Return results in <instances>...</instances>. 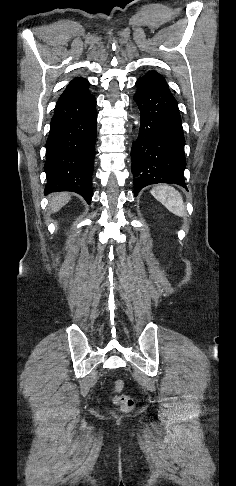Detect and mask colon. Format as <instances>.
Returning <instances> with one entry per match:
<instances>
[{
  "label": "colon",
  "mask_w": 236,
  "mask_h": 486,
  "mask_svg": "<svg viewBox=\"0 0 236 486\" xmlns=\"http://www.w3.org/2000/svg\"><path fill=\"white\" fill-rule=\"evenodd\" d=\"M123 388L124 382L122 380L115 381L112 388V400L123 412H129L133 408L134 401L129 396L121 394Z\"/></svg>",
  "instance_id": "1"
}]
</instances>
